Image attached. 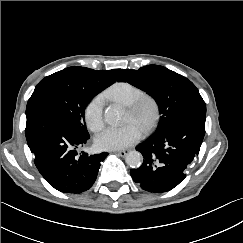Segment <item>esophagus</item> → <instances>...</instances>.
Here are the masks:
<instances>
[{
    "label": "esophagus",
    "instance_id": "esophagus-1",
    "mask_svg": "<svg viewBox=\"0 0 243 243\" xmlns=\"http://www.w3.org/2000/svg\"><path fill=\"white\" fill-rule=\"evenodd\" d=\"M116 154H118L121 157H124L127 155L128 151L127 150H121V151H116Z\"/></svg>",
    "mask_w": 243,
    "mask_h": 243
}]
</instances>
